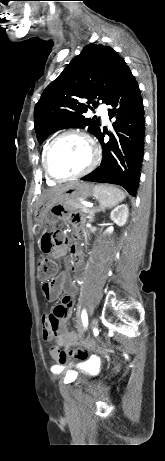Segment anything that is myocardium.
Listing matches in <instances>:
<instances>
[{
    "label": "myocardium",
    "mask_w": 165,
    "mask_h": 461,
    "mask_svg": "<svg viewBox=\"0 0 165 461\" xmlns=\"http://www.w3.org/2000/svg\"><path fill=\"white\" fill-rule=\"evenodd\" d=\"M68 136H76V137H79V138L83 139L86 142V144H87V146L89 148V151H90V161H89L88 165L82 171H80V172H78V173H76L74 175L65 176V177H59V176H56L55 174L52 173V171L50 169V166H49V159H50V155H51L52 150L54 149L55 145L62 138H65V137H68ZM98 160H99L98 149H97L94 141L92 140V138L85 132L70 129V130H66V131L58 134L47 145L46 150L44 152V156H43V167H44V170H45V173H46L47 177H49L53 181L63 182V181L78 179V178H81V177L85 176L86 174L90 173L96 167V165L98 164Z\"/></svg>",
    "instance_id": "f54148a6"
}]
</instances>
